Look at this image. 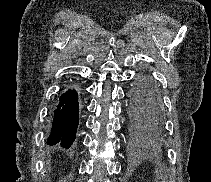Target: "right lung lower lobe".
I'll list each match as a JSON object with an SVG mask.
<instances>
[{
  "label": "right lung lower lobe",
  "mask_w": 211,
  "mask_h": 182,
  "mask_svg": "<svg viewBox=\"0 0 211 182\" xmlns=\"http://www.w3.org/2000/svg\"><path fill=\"white\" fill-rule=\"evenodd\" d=\"M79 123V103L75 90H68L59 100L54 111L49 145L61 143L62 147L69 148L76 137Z\"/></svg>",
  "instance_id": "obj_1"
}]
</instances>
